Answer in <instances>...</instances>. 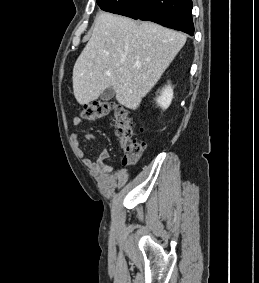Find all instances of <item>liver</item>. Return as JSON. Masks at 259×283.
Here are the masks:
<instances>
[{"instance_id":"liver-1","label":"liver","mask_w":259,"mask_h":283,"mask_svg":"<svg viewBox=\"0 0 259 283\" xmlns=\"http://www.w3.org/2000/svg\"><path fill=\"white\" fill-rule=\"evenodd\" d=\"M186 39L156 23L101 12L73 68L76 100L88 104L113 87L119 104L137 109Z\"/></svg>"}]
</instances>
